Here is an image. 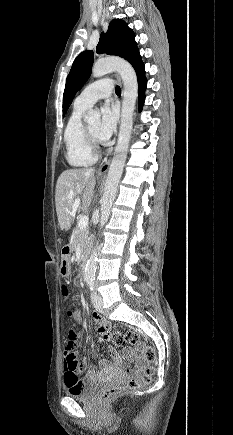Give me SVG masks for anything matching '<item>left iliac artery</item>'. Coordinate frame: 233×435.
Here are the masks:
<instances>
[{
  "label": "left iliac artery",
  "mask_w": 233,
  "mask_h": 435,
  "mask_svg": "<svg viewBox=\"0 0 233 435\" xmlns=\"http://www.w3.org/2000/svg\"><path fill=\"white\" fill-rule=\"evenodd\" d=\"M94 280H95V278H89L87 280V283H88L91 290H93V288H94Z\"/></svg>",
  "instance_id": "obj_1"
}]
</instances>
